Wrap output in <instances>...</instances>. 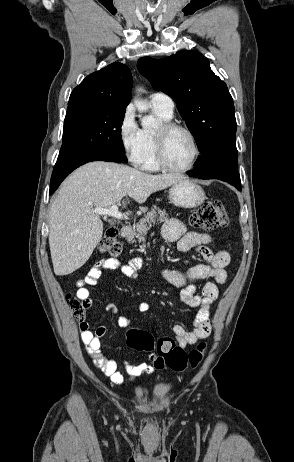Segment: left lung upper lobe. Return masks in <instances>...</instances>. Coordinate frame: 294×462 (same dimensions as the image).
<instances>
[{
    "instance_id": "5c2ea615",
    "label": "left lung upper lobe",
    "mask_w": 294,
    "mask_h": 462,
    "mask_svg": "<svg viewBox=\"0 0 294 462\" xmlns=\"http://www.w3.org/2000/svg\"><path fill=\"white\" fill-rule=\"evenodd\" d=\"M137 68L155 90L173 98L202 154L236 144L233 99L205 56L191 50L162 59L143 57Z\"/></svg>"
}]
</instances>
